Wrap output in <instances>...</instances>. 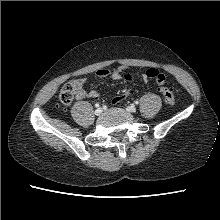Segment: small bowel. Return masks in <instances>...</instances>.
Segmentation results:
<instances>
[{"label":"small bowel","instance_id":"small-bowel-1","mask_svg":"<svg viewBox=\"0 0 220 220\" xmlns=\"http://www.w3.org/2000/svg\"><path fill=\"white\" fill-rule=\"evenodd\" d=\"M96 75L100 78L104 77H111L114 80H119L122 76V71L121 69H114L113 71H109L107 69H100L97 71ZM143 80L147 81V77L143 75ZM75 88L76 92V97L78 99H82L84 97H90V98H95L98 96V92L94 89H88L86 88V79L85 78H78L74 79L71 81ZM127 97V94H120L114 97L113 103L114 104H119L123 100H125Z\"/></svg>","mask_w":220,"mask_h":220}]
</instances>
